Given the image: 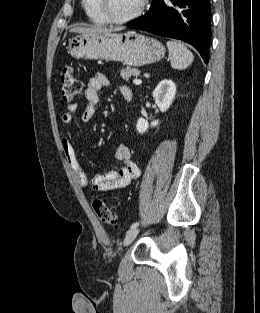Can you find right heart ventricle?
<instances>
[{
	"label": "right heart ventricle",
	"mask_w": 260,
	"mask_h": 313,
	"mask_svg": "<svg viewBox=\"0 0 260 313\" xmlns=\"http://www.w3.org/2000/svg\"><path fill=\"white\" fill-rule=\"evenodd\" d=\"M82 7L88 19L95 25H106L107 21L103 18L97 7V0H81Z\"/></svg>",
	"instance_id": "1"
}]
</instances>
